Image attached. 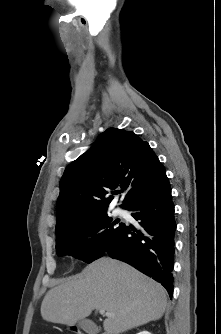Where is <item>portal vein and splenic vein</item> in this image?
<instances>
[{
    "mask_svg": "<svg viewBox=\"0 0 221 334\" xmlns=\"http://www.w3.org/2000/svg\"><path fill=\"white\" fill-rule=\"evenodd\" d=\"M99 313H100L101 315H106V316H111V315H112L111 313L106 312L104 309H100V310H99Z\"/></svg>",
    "mask_w": 221,
    "mask_h": 334,
    "instance_id": "18ae733b",
    "label": "portal vein and splenic vein"
}]
</instances>
